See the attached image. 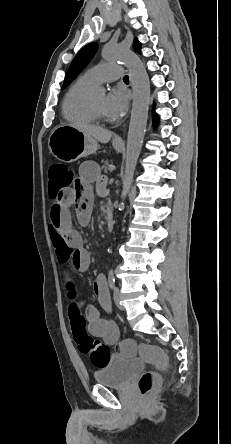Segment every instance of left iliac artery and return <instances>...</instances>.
Instances as JSON below:
<instances>
[{"mask_svg":"<svg viewBox=\"0 0 231 444\" xmlns=\"http://www.w3.org/2000/svg\"><path fill=\"white\" fill-rule=\"evenodd\" d=\"M108 282H109V286H110V288L113 289V288H114V285H115V277H114V275H113V272H110V273H109V276H108Z\"/></svg>","mask_w":231,"mask_h":444,"instance_id":"left-iliac-artery-1","label":"left iliac artery"}]
</instances>
